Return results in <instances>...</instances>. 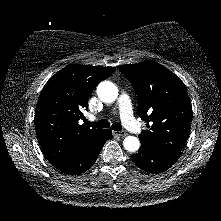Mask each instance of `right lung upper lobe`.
<instances>
[{
    "label": "right lung upper lobe",
    "mask_w": 221,
    "mask_h": 221,
    "mask_svg": "<svg viewBox=\"0 0 221 221\" xmlns=\"http://www.w3.org/2000/svg\"><path fill=\"white\" fill-rule=\"evenodd\" d=\"M114 67L70 65L45 84L35 110L38 142L49 162L59 168L72 159L101 129L78 122L84 118L88 98L98 83L115 72Z\"/></svg>",
    "instance_id": "right-lung-upper-lobe-1"
}]
</instances>
